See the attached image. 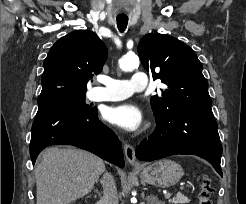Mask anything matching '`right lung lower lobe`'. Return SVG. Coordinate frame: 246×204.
Returning <instances> with one entry per match:
<instances>
[{
  "mask_svg": "<svg viewBox=\"0 0 246 204\" xmlns=\"http://www.w3.org/2000/svg\"><path fill=\"white\" fill-rule=\"evenodd\" d=\"M73 145L123 168L124 157L116 135L98 120L97 108L83 110L79 103L51 100L39 103L32 125L30 155L51 145Z\"/></svg>",
  "mask_w": 246,
  "mask_h": 204,
  "instance_id": "obj_1",
  "label": "right lung lower lobe"
}]
</instances>
